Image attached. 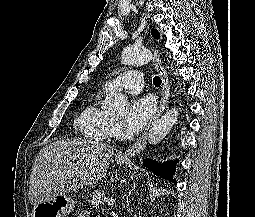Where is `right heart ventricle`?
I'll use <instances>...</instances> for the list:
<instances>
[{"label": "right heart ventricle", "mask_w": 255, "mask_h": 217, "mask_svg": "<svg viewBox=\"0 0 255 217\" xmlns=\"http://www.w3.org/2000/svg\"><path fill=\"white\" fill-rule=\"evenodd\" d=\"M96 94L78 114L75 125L80 133L93 141H104L111 136L112 116L101 106V93Z\"/></svg>", "instance_id": "right-heart-ventricle-1"}]
</instances>
